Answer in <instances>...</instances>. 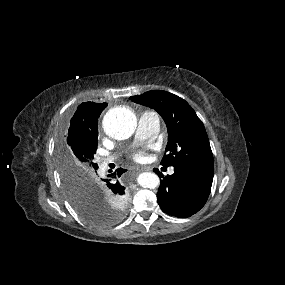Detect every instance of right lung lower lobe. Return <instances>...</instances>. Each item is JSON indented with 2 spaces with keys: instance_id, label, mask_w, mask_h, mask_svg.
I'll use <instances>...</instances> for the list:
<instances>
[{
  "instance_id": "right-lung-lower-lobe-1",
  "label": "right lung lower lobe",
  "mask_w": 285,
  "mask_h": 285,
  "mask_svg": "<svg viewBox=\"0 0 285 285\" xmlns=\"http://www.w3.org/2000/svg\"><path fill=\"white\" fill-rule=\"evenodd\" d=\"M126 170L120 168L117 172L108 175V178L101 179V184L104 188L110 191L113 195H117L118 198H123L125 194L124 187L120 185L117 178L122 175Z\"/></svg>"
}]
</instances>
